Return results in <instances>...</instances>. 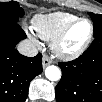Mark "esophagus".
Here are the masks:
<instances>
[{
  "mask_svg": "<svg viewBox=\"0 0 102 102\" xmlns=\"http://www.w3.org/2000/svg\"><path fill=\"white\" fill-rule=\"evenodd\" d=\"M52 63H53V60L50 57H48L47 55H43V60H42L43 68L47 67Z\"/></svg>",
  "mask_w": 102,
  "mask_h": 102,
  "instance_id": "obj_1",
  "label": "esophagus"
}]
</instances>
